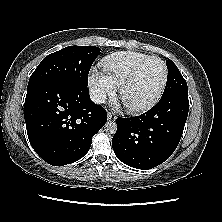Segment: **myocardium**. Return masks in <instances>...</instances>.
I'll list each match as a JSON object with an SVG mask.
<instances>
[{"label":"myocardium","instance_id":"f54148a6","mask_svg":"<svg viewBox=\"0 0 222 222\" xmlns=\"http://www.w3.org/2000/svg\"><path fill=\"white\" fill-rule=\"evenodd\" d=\"M151 60H158L161 62L162 66H163L164 75H163V80H162L159 90L151 99H149L148 101H146L142 104H139V105L126 104L123 100L124 91L137 79L141 70ZM167 81H168V67L166 65V62L158 56H150V57L146 58L145 60H143L142 62H140L135 67V69L131 72V74L121 83V85L119 86V96L122 99V101L124 102V104L129 112H131V113L145 112V111L149 110L150 108H152L160 100V98L162 97L164 90L166 88Z\"/></svg>","mask_w":222,"mask_h":222}]
</instances>
